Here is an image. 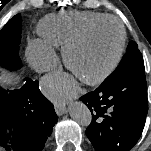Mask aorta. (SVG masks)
Wrapping results in <instances>:
<instances>
[{"label": "aorta", "mask_w": 151, "mask_h": 151, "mask_svg": "<svg viewBox=\"0 0 151 151\" xmlns=\"http://www.w3.org/2000/svg\"><path fill=\"white\" fill-rule=\"evenodd\" d=\"M68 111L70 116L82 126H89L92 121V114L89 108L82 102H72L69 107Z\"/></svg>", "instance_id": "obj_1"}]
</instances>
